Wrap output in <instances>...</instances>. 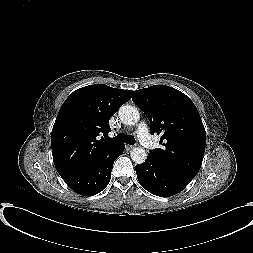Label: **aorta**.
<instances>
[{"mask_svg":"<svg viewBox=\"0 0 253 253\" xmlns=\"http://www.w3.org/2000/svg\"><path fill=\"white\" fill-rule=\"evenodd\" d=\"M119 118L126 125H134L140 119V114L137 108L131 105H123L119 109ZM131 159L137 163H144L147 159V153L142 147H135L131 151Z\"/></svg>","mask_w":253,"mask_h":253,"instance_id":"1","label":"aorta"}]
</instances>
